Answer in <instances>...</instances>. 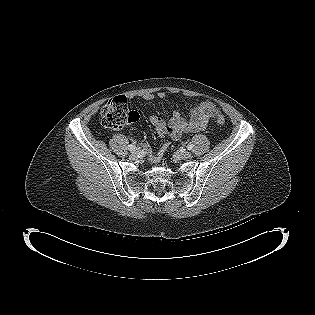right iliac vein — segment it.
Segmentation results:
<instances>
[{"label": "right iliac vein", "instance_id": "right-iliac-vein-1", "mask_svg": "<svg viewBox=\"0 0 315 315\" xmlns=\"http://www.w3.org/2000/svg\"><path fill=\"white\" fill-rule=\"evenodd\" d=\"M138 153H139V149L133 150L131 153V157L135 158L138 155Z\"/></svg>", "mask_w": 315, "mask_h": 315}]
</instances>
